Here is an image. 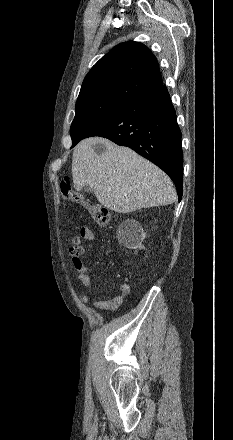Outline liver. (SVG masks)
Instances as JSON below:
<instances>
[{
  "mask_svg": "<svg viewBox=\"0 0 233 440\" xmlns=\"http://www.w3.org/2000/svg\"><path fill=\"white\" fill-rule=\"evenodd\" d=\"M95 145L105 151L97 154ZM72 176L76 191L89 185L101 205L118 213L169 205L176 199L173 182L161 169L102 137L84 139L74 148Z\"/></svg>",
  "mask_w": 233,
  "mask_h": 440,
  "instance_id": "liver-1",
  "label": "liver"
}]
</instances>
